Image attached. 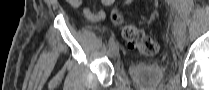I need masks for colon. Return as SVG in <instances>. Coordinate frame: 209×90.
I'll list each match as a JSON object with an SVG mask.
<instances>
[{"instance_id": "1", "label": "colon", "mask_w": 209, "mask_h": 90, "mask_svg": "<svg viewBox=\"0 0 209 90\" xmlns=\"http://www.w3.org/2000/svg\"><path fill=\"white\" fill-rule=\"evenodd\" d=\"M112 20L120 26L122 37L129 48L137 49L144 56H153L158 52L157 42L134 25L125 24L123 16L118 11H113Z\"/></svg>"}]
</instances>
